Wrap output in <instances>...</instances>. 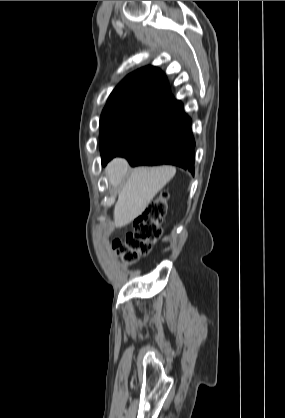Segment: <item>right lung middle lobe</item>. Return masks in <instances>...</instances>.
<instances>
[{
    "instance_id": "right-lung-middle-lobe-1",
    "label": "right lung middle lobe",
    "mask_w": 285,
    "mask_h": 418,
    "mask_svg": "<svg viewBox=\"0 0 285 418\" xmlns=\"http://www.w3.org/2000/svg\"><path fill=\"white\" fill-rule=\"evenodd\" d=\"M175 111L143 103L129 102L105 107L100 118L101 157L121 154Z\"/></svg>"
}]
</instances>
